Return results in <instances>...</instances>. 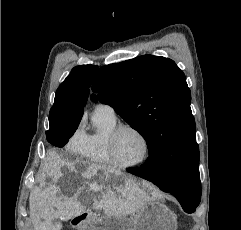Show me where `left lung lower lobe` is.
<instances>
[{
	"label": "left lung lower lobe",
	"mask_w": 241,
	"mask_h": 230,
	"mask_svg": "<svg viewBox=\"0 0 241 230\" xmlns=\"http://www.w3.org/2000/svg\"><path fill=\"white\" fill-rule=\"evenodd\" d=\"M127 171L151 181L163 191L171 192L187 213H193L200 203L201 182L199 169L178 189H171L168 186L169 161L166 157L160 155L159 152L157 154L154 152L150 155L144 166L140 168H131Z\"/></svg>",
	"instance_id": "obj_1"
}]
</instances>
